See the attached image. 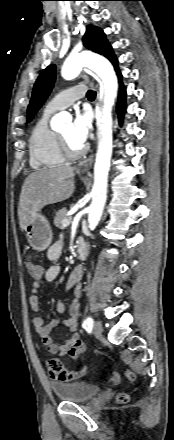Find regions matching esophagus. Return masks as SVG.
<instances>
[{
  "mask_svg": "<svg viewBox=\"0 0 174 440\" xmlns=\"http://www.w3.org/2000/svg\"><path fill=\"white\" fill-rule=\"evenodd\" d=\"M94 160V154H91L88 158L84 159L78 164V171L81 174H89V170Z\"/></svg>",
  "mask_w": 174,
  "mask_h": 440,
  "instance_id": "obj_1",
  "label": "esophagus"
}]
</instances>
